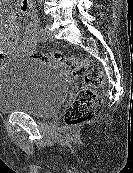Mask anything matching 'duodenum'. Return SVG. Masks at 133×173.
<instances>
[{"mask_svg":"<svg viewBox=\"0 0 133 173\" xmlns=\"http://www.w3.org/2000/svg\"><path fill=\"white\" fill-rule=\"evenodd\" d=\"M21 3L22 5L25 7V8H28L30 7V0H21Z\"/></svg>","mask_w":133,"mask_h":173,"instance_id":"duodenum-1","label":"duodenum"}]
</instances>
